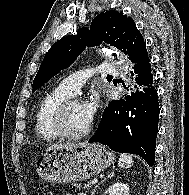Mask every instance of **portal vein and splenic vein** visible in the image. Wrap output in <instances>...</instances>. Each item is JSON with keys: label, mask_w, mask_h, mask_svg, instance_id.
I'll use <instances>...</instances> for the list:
<instances>
[{"label": "portal vein and splenic vein", "mask_w": 189, "mask_h": 195, "mask_svg": "<svg viewBox=\"0 0 189 195\" xmlns=\"http://www.w3.org/2000/svg\"><path fill=\"white\" fill-rule=\"evenodd\" d=\"M91 183H92V184H96V183H97V180L94 179V180L91 181Z\"/></svg>", "instance_id": "obj_1"}]
</instances>
